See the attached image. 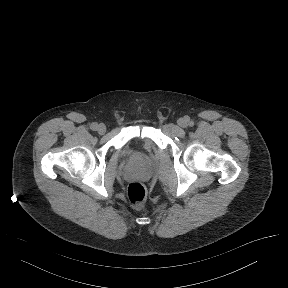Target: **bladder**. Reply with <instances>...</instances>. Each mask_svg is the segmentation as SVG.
<instances>
[{
	"label": "bladder",
	"mask_w": 288,
	"mask_h": 288,
	"mask_svg": "<svg viewBox=\"0 0 288 288\" xmlns=\"http://www.w3.org/2000/svg\"><path fill=\"white\" fill-rule=\"evenodd\" d=\"M139 148H142L147 153H152L156 148V144L151 139H132L124 145L122 152L124 154H132Z\"/></svg>",
	"instance_id": "31cf9c89"
}]
</instances>
